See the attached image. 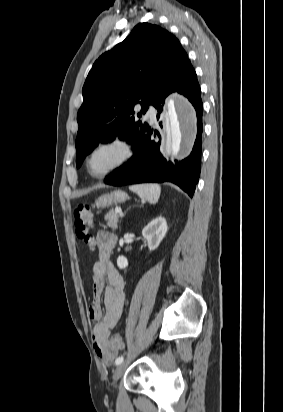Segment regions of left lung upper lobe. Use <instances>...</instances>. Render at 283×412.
I'll list each match as a JSON object with an SVG mask.
<instances>
[{
    "label": "left lung upper lobe",
    "mask_w": 283,
    "mask_h": 412,
    "mask_svg": "<svg viewBox=\"0 0 283 412\" xmlns=\"http://www.w3.org/2000/svg\"><path fill=\"white\" fill-rule=\"evenodd\" d=\"M192 70L178 39L148 23L138 24L123 42L102 54L82 90L75 142L77 168L99 142L116 137L129 142L148 128L137 117L145 114L149 105H162ZM137 104L141 110L136 115Z\"/></svg>",
    "instance_id": "1"
}]
</instances>
